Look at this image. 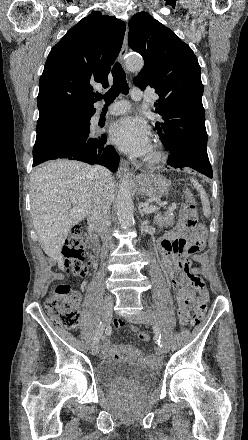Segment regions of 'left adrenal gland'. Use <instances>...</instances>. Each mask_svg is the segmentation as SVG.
Listing matches in <instances>:
<instances>
[{
  "label": "left adrenal gland",
  "instance_id": "obj_1",
  "mask_svg": "<svg viewBox=\"0 0 248 440\" xmlns=\"http://www.w3.org/2000/svg\"><path fill=\"white\" fill-rule=\"evenodd\" d=\"M138 209H139L140 215L143 217L144 213H143L142 209L140 207H138Z\"/></svg>",
  "mask_w": 248,
  "mask_h": 440
}]
</instances>
